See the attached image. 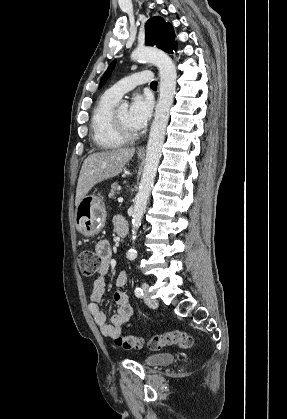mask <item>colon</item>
Wrapping results in <instances>:
<instances>
[{
  "instance_id": "5ec220e1",
  "label": "colon",
  "mask_w": 287,
  "mask_h": 419,
  "mask_svg": "<svg viewBox=\"0 0 287 419\" xmlns=\"http://www.w3.org/2000/svg\"><path fill=\"white\" fill-rule=\"evenodd\" d=\"M81 273L84 276H93L101 267V258L91 250H83L78 258ZM192 337L182 331H171L150 337L146 342L136 335L119 336L115 344L126 350L140 349L144 344L150 350H160L167 346H178L188 349L192 346Z\"/></svg>"
}]
</instances>
